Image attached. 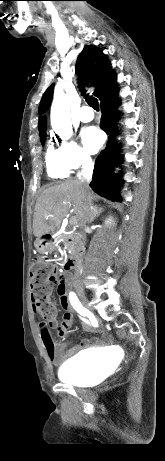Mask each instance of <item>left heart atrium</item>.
Returning <instances> with one entry per match:
<instances>
[{"label":"left heart atrium","mask_w":165,"mask_h":461,"mask_svg":"<svg viewBox=\"0 0 165 461\" xmlns=\"http://www.w3.org/2000/svg\"><path fill=\"white\" fill-rule=\"evenodd\" d=\"M82 140L85 147L92 153L99 150L104 142V136L96 127H86L82 131Z\"/></svg>","instance_id":"obj_1"}]
</instances>
